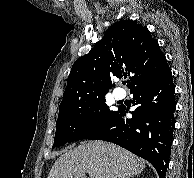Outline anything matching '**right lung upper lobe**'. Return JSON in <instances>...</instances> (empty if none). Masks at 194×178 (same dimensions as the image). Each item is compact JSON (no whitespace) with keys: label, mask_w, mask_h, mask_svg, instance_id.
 <instances>
[{"label":"right lung upper lobe","mask_w":194,"mask_h":178,"mask_svg":"<svg viewBox=\"0 0 194 178\" xmlns=\"http://www.w3.org/2000/svg\"><path fill=\"white\" fill-rule=\"evenodd\" d=\"M168 70L167 60L147 27L132 20L120 21L73 64L59 113L105 96L113 77L131 75L127 87L132 91L160 79Z\"/></svg>","instance_id":"obj_1"}]
</instances>
